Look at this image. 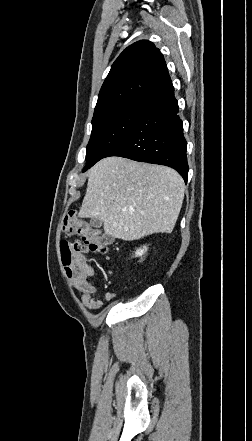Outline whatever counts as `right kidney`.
Instances as JSON below:
<instances>
[{
	"mask_svg": "<svg viewBox=\"0 0 252 441\" xmlns=\"http://www.w3.org/2000/svg\"><path fill=\"white\" fill-rule=\"evenodd\" d=\"M147 249V246H143L142 248L137 249L135 252V257H142Z\"/></svg>",
	"mask_w": 252,
	"mask_h": 441,
	"instance_id": "ca27d5eb",
	"label": "right kidney"
}]
</instances>
